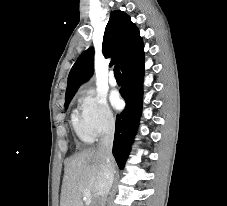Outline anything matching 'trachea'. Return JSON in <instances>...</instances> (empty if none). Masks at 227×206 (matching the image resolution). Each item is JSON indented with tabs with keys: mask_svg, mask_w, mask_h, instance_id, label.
Instances as JSON below:
<instances>
[{
	"mask_svg": "<svg viewBox=\"0 0 227 206\" xmlns=\"http://www.w3.org/2000/svg\"><path fill=\"white\" fill-rule=\"evenodd\" d=\"M114 74H115L116 78H121L120 65H115L114 66Z\"/></svg>",
	"mask_w": 227,
	"mask_h": 206,
	"instance_id": "obj_1",
	"label": "trachea"
}]
</instances>
